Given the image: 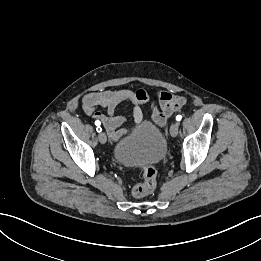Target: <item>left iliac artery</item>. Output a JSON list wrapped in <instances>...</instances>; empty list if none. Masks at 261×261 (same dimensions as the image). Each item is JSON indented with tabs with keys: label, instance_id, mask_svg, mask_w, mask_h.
Here are the masks:
<instances>
[{
	"label": "left iliac artery",
	"instance_id": "44dca946",
	"mask_svg": "<svg viewBox=\"0 0 261 261\" xmlns=\"http://www.w3.org/2000/svg\"><path fill=\"white\" fill-rule=\"evenodd\" d=\"M181 119H182V116H181V115H177V116H176V120H177V121H180Z\"/></svg>",
	"mask_w": 261,
	"mask_h": 261
}]
</instances>
